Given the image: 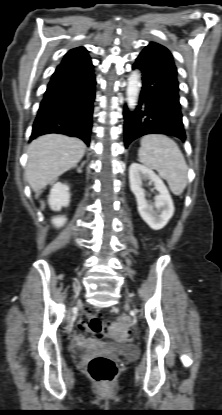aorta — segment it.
<instances>
[{
  "mask_svg": "<svg viewBox=\"0 0 222 415\" xmlns=\"http://www.w3.org/2000/svg\"><path fill=\"white\" fill-rule=\"evenodd\" d=\"M140 88L141 74L138 70H135L130 74L128 78V84L126 89V101L128 108L130 110H134L137 105Z\"/></svg>",
  "mask_w": 222,
  "mask_h": 415,
  "instance_id": "aorta-1",
  "label": "aorta"
}]
</instances>
